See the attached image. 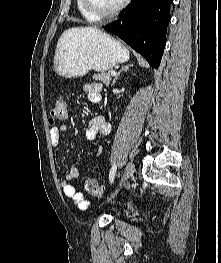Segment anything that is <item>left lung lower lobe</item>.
Instances as JSON below:
<instances>
[{"label":"left lung lower lobe","instance_id":"0a47b994","mask_svg":"<svg viewBox=\"0 0 221 263\" xmlns=\"http://www.w3.org/2000/svg\"><path fill=\"white\" fill-rule=\"evenodd\" d=\"M173 0H132L118 20L103 28L121 38L158 68L166 45Z\"/></svg>","mask_w":221,"mask_h":263}]
</instances>
